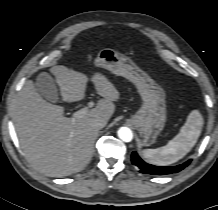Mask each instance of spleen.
Segmentation results:
<instances>
[{
  "label": "spleen",
  "mask_w": 218,
  "mask_h": 210,
  "mask_svg": "<svg viewBox=\"0 0 218 210\" xmlns=\"http://www.w3.org/2000/svg\"><path fill=\"white\" fill-rule=\"evenodd\" d=\"M202 126V116L197 110H193L180 132L172 140L163 147L143 150V156L149 162L159 166H167L179 161L196 144Z\"/></svg>",
  "instance_id": "obj_1"
}]
</instances>
